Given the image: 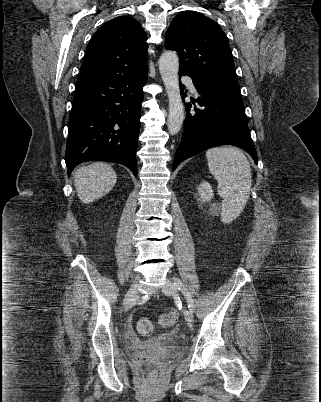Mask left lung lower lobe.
<instances>
[{"instance_id":"1","label":"left lung lower lobe","mask_w":321,"mask_h":402,"mask_svg":"<svg viewBox=\"0 0 321 402\" xmlns=\"http://www.w3.org/2000/svg\"><path fill=\"white\" fill-rule=\"evenodd\" d=\"M183 75L187 74L179 72V76ZM192 81L200 95L197 102L203 108L190 111L191 104H185L186 127L172 169L183 160L219 145L240 147L258 163L238 82L193 78ZM180 88L182 92L184 86Z\"/></svg>"}]
</instances>
